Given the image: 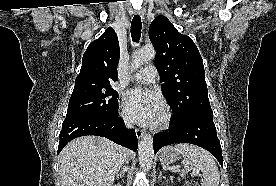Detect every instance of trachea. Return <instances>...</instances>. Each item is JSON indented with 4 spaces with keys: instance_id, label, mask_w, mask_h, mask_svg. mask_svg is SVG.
Wrapping results in <instances>:
<instances>
[{
    "instance_id": "3493384b",
    "label": "trachea",
    "mask_w": 276,
    "mask_h": 186,
    "mask_svg": "<svg viewBox=\"0 0 276 186\" xmlns=\"http://www.w3.org/2000/svg\"><path fill=\"white\" fill-rule=\"evenodd\" d=\"M142 22L140 15H135L131 22V37L133 42L138 43L141 37Z\"/></svg>"
}]
</instances>
